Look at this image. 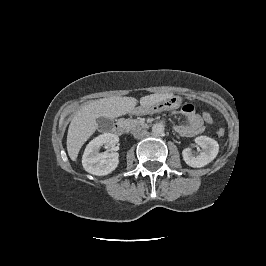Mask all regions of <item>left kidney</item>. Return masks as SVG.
Segmentation results:
<instances>
[{
	"label": "left kidney",
	"mask_w": 266,
	"mask_h": 266,
	"mask_svg": "<svg viewBox=\"0 0 266 266\" xmlns=\"http://www.w3.org/2000/svg\"><path fill=\"white\" fill-rule=\"evenodd\" d=\"M195 142L204 151L194 156L190 148H185L182 152L185 163L194 168L204 167L214 160L219 151V144L214 139L207 136H198Z\"/></svg>",
	"instance_id": "left-kidney-1"
}]
</instances>
